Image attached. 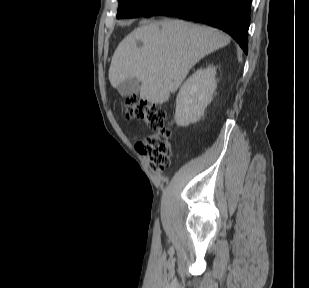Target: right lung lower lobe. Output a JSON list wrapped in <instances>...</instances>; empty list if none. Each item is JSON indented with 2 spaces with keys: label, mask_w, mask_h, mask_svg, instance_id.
<instances>
[{
  "label": "right lung lower lobe",
  "mask_w": 309,
  "mask_h": 288,
  "mask_svg": "<svg viewBox=\"0 0 309 288\" xmlns=\"http://www.w3.org/2000/svg\"><path fill=\"white\" fill-rule=\"evenodd\" d=\"M252 0H164L142 16H175L202 22L230 34L248 53Z\"/></svg>",
  "instance_id": "obj_1"
}]
</instances>
